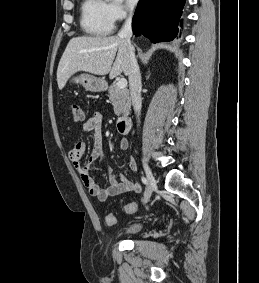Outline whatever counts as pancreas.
I'll list each match as a JSON object with an SVG mask.
<instances>
[{"label":"pancreas","instance_id":"cf45deb5","mask_svg":"<svg viewBox=\"0 0 259 283\" xmlns=\"http://www.w3.org/2000/svg\"><path fill=\"white\" fill-rule=\"evenodd\" d=\"M108 93L110 100L113 103L114 113L117 116L129 113L131 100L129 97V91L126 88L120 89L117 84H112L109 87Z\"/></svg>","mask_w":259,"mask_h":283}]
</instances>
